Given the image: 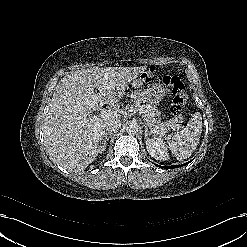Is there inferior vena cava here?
I'll use <instances>...</instances> for the list:
<instances>
[{
  "label": "inferior vena cava",
  "instance_id": "obj_1",
  "mask_svg": "<svg viewBox=\"0 0 247 247\" xmlns=\"http://www.w3.org/2000/svg\"><path fill=\"white\" fill-rule=\"evenodd\" d=\"M121 127L120 120H109L104 124V131L108 134L116 132Z\"/></svg>",
  "mask_w": 247,
  "mask_h": 247
}]
</instances>
